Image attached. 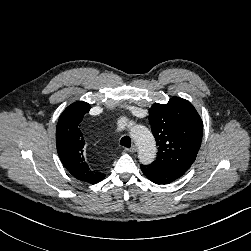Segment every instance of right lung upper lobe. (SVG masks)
<instances>
[{
  "label": "right lung upper lobe",
  "mask_w": 251,
  "mask_h": 251,
  "mask_svg": "<svg viewBox=\"0 0 251 251\" xmlns=\"http://www.w3.org/2000/svg\"><path fill=\"white\" fill-rule=\"evenodd\" d=\"M89 110L90 105L83 101L75 102L64 110L56 128V145L65 168L78 180L95 184L105 175L93 171L85 159V141L80 123Z\"/></svg>",
  "instance_id": "right-lung-upper-lobe-1"
}]
</instances>
